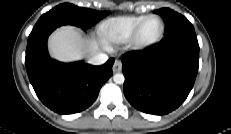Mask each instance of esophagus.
Returning a JSON list of instances; mask_svg holds the SVG:
<instances>
[{
  "mask_svg": "<svg viewBox=\"0 0 231 134\" xmlns=\"http://www.w3.org/2000/svg\"><path fill=\"white\" fill-rule=\"evenodd\" d=\"M121 69H122V62L116 59L113 65V72L114 73L120 72Z\"/></svg>",
  "mask_w": 231,
  "mask_h": 134,
  "instance_id": "esophagus-1",
  "label": "esophagus"
}]
</instances>
